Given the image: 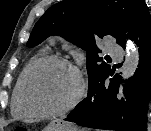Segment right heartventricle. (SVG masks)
Here are the masks:
<instances>
[{
  "label": "right heart ventricle",
  "mask_w": 151,
  "mask_h": 131,
  "mask_svg": "<svg viewBox=\"0 0 151 131\" xmlns=\"http://www.w3.org/2000/svg\"><path fill=\"white\" fill-rule=\"evenodd\" d=\"M46 54H47V49L40 50L36 55H34L27 62V64L23 68L20 76L18 77L17 82H16L15 87H14L13 92H12L11 104H10V106H11V113H12V115L14 117L21 118V117H25L26 116V114L23 113V111L20 109V106H19V94H20V88H21L22 79H23V76H24L27 68L34 61H36L37 59H40V58L46 56Z\"/></svg>",
  "instance_id": "obj_1"
}]
</instances>
